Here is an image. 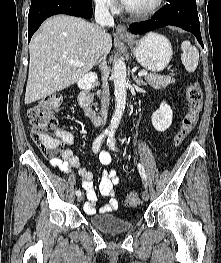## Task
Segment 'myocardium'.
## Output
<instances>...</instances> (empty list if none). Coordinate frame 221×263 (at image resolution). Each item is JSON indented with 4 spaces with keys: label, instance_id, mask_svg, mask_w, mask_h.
Returning a JSON list of instances; mask_svg holds the SVG:
<instances>
[{
    "label": "myocardium",
    "instance_id": "f54148a6",
    "mask_svg": "<svg viewBox=\"0 0 221 263\" xmlns=\"http://www.w3.org/2000/svg\"><path fill=\"white\" fill-rule=\"evenodd\" d=\"M163 1L164 0H156V2L152 6L145 8V9L131 8L125 2L123 3V6H124L125 11L129 13L130 15H133L136 17H145V16L152 15L153 13L158 11L160 7L162 6Z\"/></svg>",
    "mask_w": 221,
    "mask_h": 263
}]
</instances>
